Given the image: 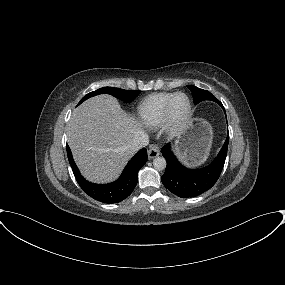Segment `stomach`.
Listing matches in <instances>:
<instances>
[{
	"label": "stomach",
	"instance_id": "obj_1",
	"mask_svg": "<svg viewBox=\"0 0 285 285\" xmlns=\"http://www.w3.org/2000/svg\"><path fill=\"white\" fill-rule=\"evenodd\" d=\"M212 127L204 119L192 120L176 141V152L190 166L202 164L212 144Z\"/></svg>",
	"mask_w": 285,
	"mask_h": 285
}]
</instances>
